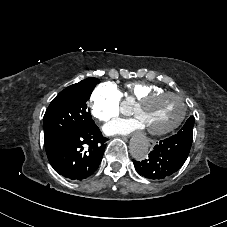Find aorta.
Returning a JSON list of instances; mask_svg holds the SVG:
<instances>
[{"instance_id": "1", "label": "aorta", "mask_w": 227, "mask_h": 227, "mask_svg": "<svg viewBox=\"0 0 227 227\" xmlns=\"http://www.w3.org/2000/svg\"><path fill=\"white\" fill-rule=\"evenodd\" d=\"M149 143L146 139H136L130 145V153L137 161H142L148 156Z\"/></svg>"}]
</instances>
